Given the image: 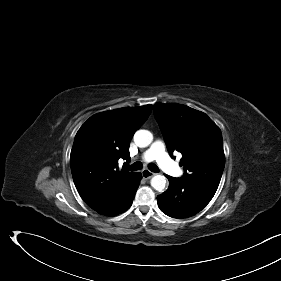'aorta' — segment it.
<instances>
[{
    "label": "aorta",
    "instance_id": "obj_1",
    "mask_svg": "<svg viewBox=\"0 0 281 281\" xmlns=\"http://www.w3.org/2000/svg\"><path fill=\"white\" fill-rule=\"evenodd\" d=\"M134 141L138 147L144 148L151 144L153 135L148 130H138L134 134ZM151 186L158 192H162L166 186V178L162 175H155L151 179Z\"/></svg>",
    "mask_w": 281,
    "mask_h": 281
}]
</instances>
